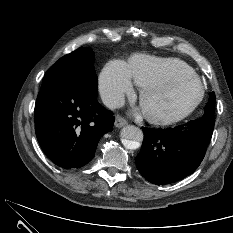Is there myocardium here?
<instances>
[{
  "mask_svg": "<svg viewBox=\"0 0 233 233\" xmlns=\"http://www.w3.org/2000/svg\"><path fill=\"white\" fill-rule=\"evenodd\" d=\"M187 79H192V80L197 81L201 87V92H200L198 99L186 111H184L183 113L179 115L168 116V115L150 111L146 107V102H145L146 97L150 92L172 85L182 80H187ZM205 95H206V86L197 74L195 73L180 74V75L164 78V79L152 82V83H148L142 86L139 92V103H140L144 116L149 122L156 124V125H160V126H171V125H176L178 123H181L184 120L188 119L202 104V102L205 99Z\"/></svg>",
  "mask_w": 233,
  "mask_h": 233,
  "instance_id": "obj_1",
  "label": "myocardium"
}]
</instances>
